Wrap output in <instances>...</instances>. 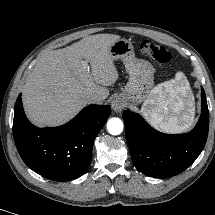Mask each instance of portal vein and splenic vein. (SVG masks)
I'll return each instance as SVG.
<instances>
[{
	"mask_svg": "<svg viewBox=\"0 0 215 215\" xmlns=\"http://www.w3.org/2000/svg\"><path fill=\"white\" fill-rule=\"evenodd\" d=\"M82 65H83L84 68L89 69L88 61L83 60Z\"/></svg>",
	"mask_w": 215,
	"mask_h": 215,
	"instance_id": "18ae733b",
	"label": "portal vein and splenic vein"
}]
</instances>
